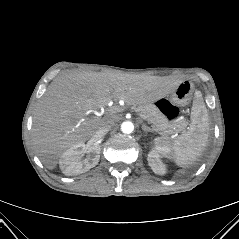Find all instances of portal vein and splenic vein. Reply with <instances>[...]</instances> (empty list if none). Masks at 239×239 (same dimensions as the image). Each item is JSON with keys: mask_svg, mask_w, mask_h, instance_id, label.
<instances>
[{"mask_svg": "<svg viewBox=\"0 0 239 239\" xmlns=\"http://www.w3.org/2000/svg\"><path fill=\"white\" fill-rule=\"evenodd\" d=\"M110 111H111V113H115V112H116V111H114V110H110ZM139 116H140L142 119L148 121V118H147L146 115L139 113Z\"/></svg>", "mask_w": 239, "mask_h": 239, "instance_id": "obj_1", "label": "portal vein and splenic vein"}]
</instances>
